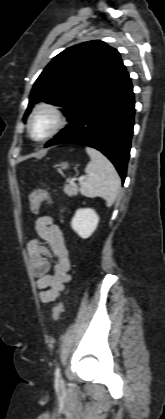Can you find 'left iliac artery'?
Segmentation results:
<instances>
[{
    "instance_id": "44dca946",
    "label": "left iliac artery",
    "mask_w": 165,
    "mask_h": 419,
    "mask_svg": "<svg viewBox=\"0 0 165 419\" xmlns=\"http://www.w3.org/2000/svg\"><path fill=\"white\" fill-rule=\"evenodd\" d=\"M55 376L56 377H59L60 376V369H59V367L56 368Z\"/></svg>"
}]
</instances>
